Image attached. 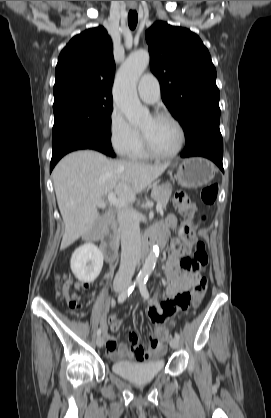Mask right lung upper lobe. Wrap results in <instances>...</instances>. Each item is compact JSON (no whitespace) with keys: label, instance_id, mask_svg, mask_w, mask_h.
Returning <instances> with one entry per match:
<instances>
[{"label":"right lung upper lobe","instance_id":"cb5924a9","mask_svg":"<svg viewBox=\"0 0 271 418\" xmlns=\"http://www.w3.org/2000/svg\"><path fill=\"white\" fill-rule=\"evenodd\" d=\"M115 63L112 42L99 26L73 37L55 69L54 101L70 97L112 98Z\"/></svg>","mask_w":271,"mask_h":418}]
</instances>
